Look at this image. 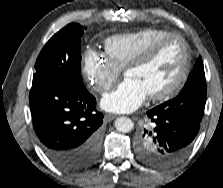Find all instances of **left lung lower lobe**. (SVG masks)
Returning a JSON list of instances; mask_svg holds the SVG:
<instances>
[{"mask_svg": "<svg viewBox=\"0 0 223 188\" xmlns=\"http://www.w3.org/2000/svg\"><path fill=\"white\" fill-rule=\"evenodd\" d=\"M147 115L154 128L142 129L136 136L137 156L144 163L158 168L170 167L183 159L191 148L200 123L169 116L157 107Z\"/></svg>", "mask_w": 223, "mask_h": 188, "instance_id": "1", "label": "left lung lower lobe"}]
</instances>
